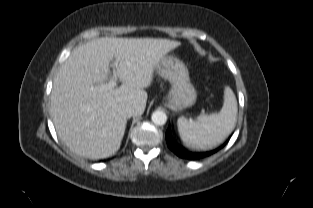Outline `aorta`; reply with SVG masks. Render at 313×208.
Listing matches in <instances>:
<instances>
[{
	"mask_svg": "<svg viewBox=\"0 0 313 208\" xmlns=\"http://www.w3.org/2000/svg\"><path fill=\"white\" fill-rule=\"evenodd\" d=\"M151 119H152L154 124L161 126V125H164L166 123L167 115L163 111L156 110L155 112H153Z\"/></svg>",
	"mask_w": 313,
	"mask_h": 208,
	"instance_id": "obj_1",
	"label": "aorta"
}]
</instances>
